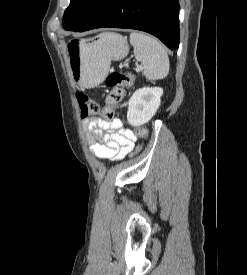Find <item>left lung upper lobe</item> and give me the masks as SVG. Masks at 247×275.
<instances>
[{
  "label": "left lung upper lobe",
  "mask_w": 247,
  "mask_h": 275,
  "mask_svg": "<svg viewBox=\"0 0 247 275\" xmlns=\"http://www.w3.org/2000/svg\"><path fill=\"white\" fill-rule=\"evenodd\" d=\"M103 0H71L63 16L66 30L80 28Z\"/></svg>",
  "instance_id": "obj_1"
}]
</instances>
